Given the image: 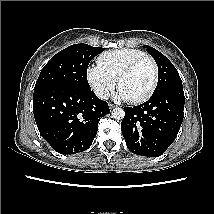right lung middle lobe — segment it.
Wrapping results in <instances>:
<instances>
[{
    "instance_id": "dd1d6c3e",
    "label": "right lung middle lobe",
    "mask_w": 214,
    "mask_h": 214,
    "mask_svg": "<svg viewBox=\"0 0 214 214\" xmlns=\"http://www.w3.org/2000/svg\"><path fill=\"white\" fill-rule=\"evenodd\" d=\"M104 48L74 44L58 52L42 69L35 89L46 85H64L91 90L87 81V67Z\"/></svg>"
}]
</instances>
